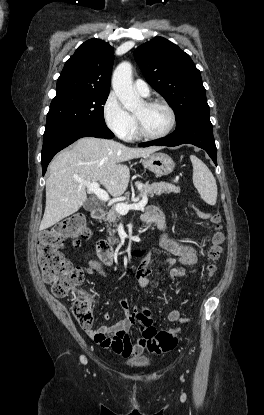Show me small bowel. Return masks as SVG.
<instances>
[{"label":"small bowel","instance_id":"c3829d8e","mask_svg":"<svg viewBox=\"0 0 264 415\" xmlns=\"http://www.w3.org/2000/svg\"><path fill=\"white\" fill-rule=\"evenodd\" d=\"M141 220L144 223L157 225L162 231L160 245L163 249L180 256L189 265H195L197 255L194 248L184 245L166 232L165 216L158 207H147L141 215ZM154 258L153 252H147L134 268L138 284L142 289H149L155 284L153 275L157 268L152 266ZM162 262L167 268H170L175 264L176 260L167 257ZM86 270L87 272H97L103 277L112 276V273L98 261H91ZM118 301L125 313L124 317L112 325L102 324L95 329H87L86 333L94 339L95 344L99 347L112 349L126 357L141 358L145 345L144 341L131 342L127 335L141 307L135 305L131 308L129 303L123 298H118ZM104 317L108 319L110 314L106 313ZM170 319L177 320L178 313L176 311L171 312ZM153 328L156 330L154 326Z\"/></svg>","mask_w":264,"mask_h":415}]
</instances>
